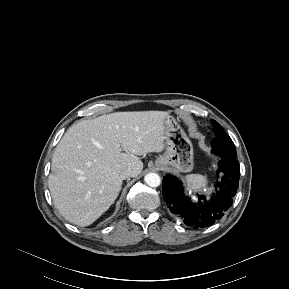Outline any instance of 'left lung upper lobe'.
<instances>
[{
  "instance_id": "left-lung-upper-lobe-1",
  "label": "left lung upper lobe",
  "mask_w": 289,
  "mask_h": 289,
  "mask_svg": "<svg viewBox=\"0 0 289 289\" xmlns=\"http://www.w3.org/2000/svg\"><path fill=\"white\" fill-rule=\"evenodd\" d=\"M211 122L213 125V132L215 134V138L211 144L213 150L220 155L236 153L233 141L227 135V133L223 131L220 124L215 120H211Z\"/></svg>"
}]
</instances>
